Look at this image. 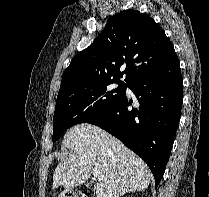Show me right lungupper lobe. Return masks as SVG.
<instances>
[{"mask_svg": "<svg viewBox=\"0 0 209 197\" xmlns=\"http://www.w3.org/2000/svg\"><path fill=\"white\" fill-rule=\"evenodd\" d=\"M174 54L169 38L149 15L125 10L110 17L94 42L73 58L60 89L85 82L121 81L123 75L126 83L131 84ZM122 65H126L123 72Z\"/></svg>", "mask_w": 209, "mask_h": 197, "instance_id": "1", "label": "right lung upper lobe"}]
</instances>
